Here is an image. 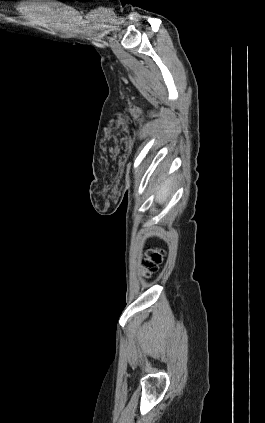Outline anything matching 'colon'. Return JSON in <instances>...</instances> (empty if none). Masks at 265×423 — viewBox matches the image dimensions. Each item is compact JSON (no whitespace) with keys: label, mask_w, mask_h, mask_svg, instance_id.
<instances>
[{"label":"colon","mask_w":265,"mask_h":423,"mask_svg":"<svg viewBox=\"0 0 265 423\" xmlns=\"http://www.w3.org/2000/svg\"><path fill=\"white\" fill-rule=\"evenodd\" d=\"M165 257V252L162 249H152L148 252L147 257L142 261V273L149 277L157 272L159 265Z\"/></svg>","instance_id":"colon-1"}]
</instances>
